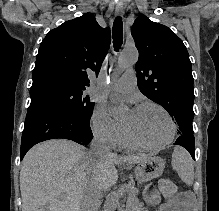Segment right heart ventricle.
I'll list each match as a JSON object with an SVG mask.
<instances>
[{"label":"right heart ventricle","instance_id":"obj_1","mask_svg":"<svg viewBox=\"0 0 219 211\" xmlns=\"http://www.w3.org/2000/svg\"><path fill=\"white\" fill-rule=\"evenodd\" d=\"M121 145L127 148H134V146L127 140L126 137L122 136L121 141H120Z\"/></svg>","mask_w":219,"mask_h":211}]
</instances>
